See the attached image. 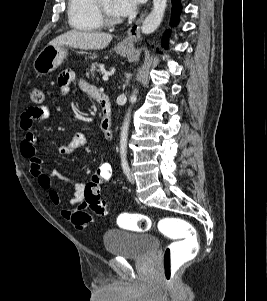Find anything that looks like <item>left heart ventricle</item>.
I'll return each mask as SVG.
<instances>
[{"instance_id": "b2bd125f", "label": "left heart ventricle", "mask_w": 267, "mask_h": 301, "mask_svg": "<svg viewBox=\"0 0 267 301\" xmlns=\"http://www.w3.org/2000/svg\"><path fill=\"white\" fill-rule=\"evenodd\" d=\"M101 6L106 10V12L114 18L117 16L112 11V0H100Z\"/></svg>"}]
</instances>
